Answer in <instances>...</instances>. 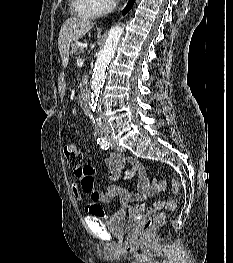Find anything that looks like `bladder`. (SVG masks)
<instances>
[{"instance_id": "31cf9c89", "label": "bladder", "mask_w": 233, "mask_h": 263, "mask_svg": "<svg viewBox=\"0 0 233 263\" xmlns=\"http://www.w3.org/2000/svg\"><path fill=\"white\" fill-rule=\"evenodd\" d=\"M139 222V215L135 211L119 209L106 221L108 230L119 238L134 236Z\"/></svg>"}]
</instances>
